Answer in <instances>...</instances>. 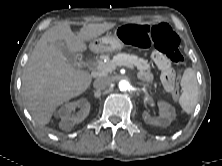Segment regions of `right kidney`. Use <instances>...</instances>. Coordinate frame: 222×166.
<instances>
[{
	"label": "right kidney",
	"instance_id": "obj_1",
	"mask_svg": "<svg viewBox=\"0 0 222 166\" xmlns=\"http://www.w3.org/2000/svg\"><path fill=\"white\" fill-rule=\"evenodd\" d=\"M76 108H80L77 114H72ZM90 103L86 99L70 102L63 105L57 112L56 116L61 118L59 127L62 130L70 131L75 124L82 122L89 114Z\"/></svg>",
	"mask_w": 222,
	"mask_h": 166
}]
</instances>
